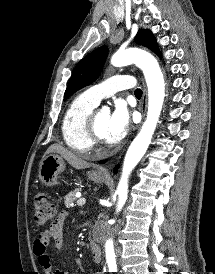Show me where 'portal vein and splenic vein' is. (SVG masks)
Here are the masks:
<instances>
[{
	"label": "portal vein and splenic vein",
	"mask_w": 215,
	"mask_h": 274,
	"mask_svg": "<svg viewBox=\"0 0 215 274\" xmlns=\"http://www.w3.org/2000/svg\"><path fill=\"white\" fill-rule=\"evenodd\" d=\"M86 203V199L85 198H80L77 201L78 206H83Z\"/></svg>",
	"instance_id": "18ae733b"
}]
</instances>
